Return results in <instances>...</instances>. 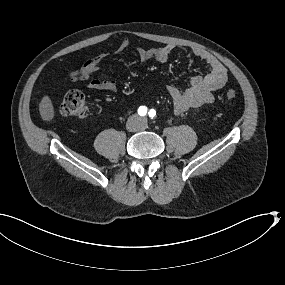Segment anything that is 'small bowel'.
Segmentation results:
<instances>
[{"mask_svg":"<svg viewBox=\"0 0 285 285\" xmlns=\"http://www.w3.org/2000/svg\"><path fill=\"white\" fill-rule=\"evenodd\" d=\"M129 45L128 40H123L118 45L116 53L124 52ZM174 49L175 47L172 45L149 49L139 47L136 49V53L141 61L155 60L165 63ZM192 53L206 63L209 72L204 76H193L185 90L175 86L167 87L176 114H182L190 109L212 103L214 101L213 93L223 88L227 82V69L216 57L201 48H193ZM104 58L103 54L88 59L81 70L83 79L95 73ZM88 87L95 91L115 92L117 90V85L112 80L93 79L89 81Z\"/></svg>","mask_w":285,"mask_h":285,"instance_id":"small-bowel-1","label":"small bowel"}]
</instances>
